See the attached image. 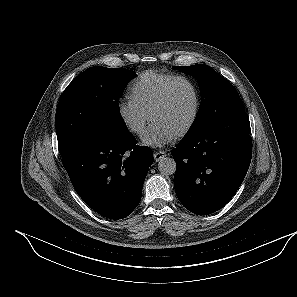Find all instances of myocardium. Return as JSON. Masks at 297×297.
<instances>
[{
	"mask_svg": "<svg viewBox=\"0 0 297 297\" xmlns=\"http://www.w3.org/2000/svg\"><path fill=\"white\" fill-rule=\"evenodd\" d=\"M185 82L187 83L192 92H193V96H194V106H193V111L191 114L190 119L188 120V122L185 124V126L183 128H181L176 134L175 137L176 138H180L185 136L186 134H188L191 129L194 127L198 116H199V112H200V106H201V99H200V93L198 90L197 85L195 84V82L187 77V76H183V75H178L175 76L173 79H171L162 89L158 99L155 101V103L153 104V106L151 107L150 111H149V119H152L153 114L159 110L161 107L164 106V104L166 103L170 91L172 89V87L177 83V82Z\"/></svg>",
	"mask_w": 297,
	"mask_h": 297,
	"instance_id": "f54148a6",
	"label": "myocardium"
}]
</instances>
